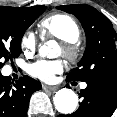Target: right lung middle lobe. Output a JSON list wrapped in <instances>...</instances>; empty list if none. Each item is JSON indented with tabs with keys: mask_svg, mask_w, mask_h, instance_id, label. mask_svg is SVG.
<instances>
[{
	"mask_svg": "<svg viewBox=\"0 0 117 117\" xmlns=\"http://www.w3.org/2000/svg\"><path fill=\"white\" fill-rule=\"evenodd\" d=\"M46 6L29 8L0 6V68L21 53L25 30L45 11Z\"/></svg>",
	"mask_w": 117,
	"mask_h": 117,
	"instance_id": "obj_1",
	"label": "right lung middle lobe"
}]
</instances>
